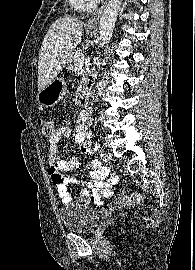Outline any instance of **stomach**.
<instances>
[{"instance_id":"obj_1","label":"stomach","mask_w":195,"mask_h":270,"mask_svg":"<svg viewBox=\"0 0 195 270\" xmlns=\"http://www.w3.org/2000/svg\"><path fill=\"white\" fill-rule=\"evenodd\" d=\"M91 32L90 30H88ZM67 92V84L63 78H55L37 94V101L44 107L55 106Z\"/></svg>"}]
</instances>
